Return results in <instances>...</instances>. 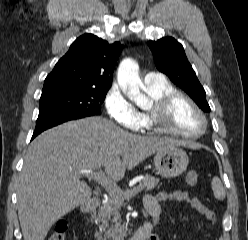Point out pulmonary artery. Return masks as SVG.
Returning a JSON list of instances; mask_svg holds the SVG:
<instances>
[{
  "mask_svg": "<svg viewBox=\"0 0 248 240\" xmlns=\"http://www.w3.org/2000/svg\"><path fill=\"white\" fill-rule=\"evenodd\" d=\"M162 79H163V76L157 72H148L144 77L145 82L160 81Z\"/></svg>",
  "mask_w": 248,
  "mask_h": 240,
  "instance_id": "pulmonary-artery-1",
  "label": "pulmonary artery"
}]
</instances>
